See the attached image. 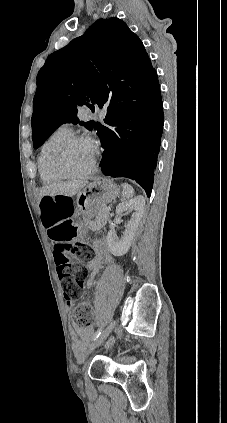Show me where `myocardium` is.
<instances>
[{"instance_id":"myocardium-1","label":"myocardium","mask_w":227,"mask_h":423,"mask_svg":"<svg viewBox=\"0 0 227 423\" xmlns=\"http://www.w3.org/2000/svg\"><path fill=\"white\" fill-rule=\"evenodd\" d=\"M76 143L89 144V141L81 135H70L64 140H62L60 143H58L50 154V165L63 178L71 180L86 178L89 175L93 174L97 169L98 159L96 157L91 167L84 172L74 173L69 170L65 163V154L66 151Z\"/></svg>"}]
</instances>
